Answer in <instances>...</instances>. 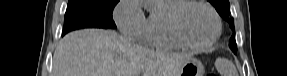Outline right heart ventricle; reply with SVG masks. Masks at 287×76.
Listing matches in <instances>:
<instances>
[{"mask_svg": "<svg viewBox=\"0 0 287 76\" xmlns=\"http://www.w3.org/2000/svg\"><path fill=\"white\" fill-rule=\"evenodd\" d=\"M180 2L181 0H163L162 5L150 13L147 18L146 32L142 41L144 44L161 50H178L183 48L173 36L169 25L170 12Z\"/></svg>", "mask_w": 287, "mask_h": 76, "instance_id": "obj_1", "label": "right heart ventricle"}]
</instances>
